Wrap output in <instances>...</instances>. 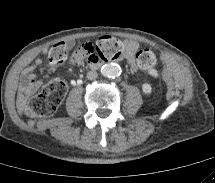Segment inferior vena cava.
<instances>
[{"instance_id":"obj_1","label":"inferior vena cava","mask_w":215,"mask_h":183,"mask_svg":"<svg viewBox=\"0 0 215 183\" xmlns=\"http://www.w3.org/2000/svg\"><path fill=\"white\" fill-rule=\"evenodd\" d=\"M97 77H98V74H97V72L94 71V70L89 71V72L87 73V78H88L89 80H95Z\"/></svg>"}]
</instances>
